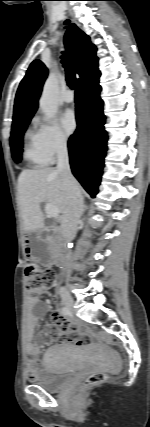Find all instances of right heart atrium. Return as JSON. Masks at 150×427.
<instances>
[{
	"mask_svg": "<svg viewBox=\"0 0 150 427\" xmlns=\"http://www.w3.org/2000/svg\"><path fill=\"white\" fill-rule=\"evenodd\" d=\"M39 144L47 162L53 161L68 148V139L56 123H40L38 127Z\"/></svg>",
	"mask_w": 150,
	"mask_h": 427,
	"instance_id": "right-heart-atrium-1",
	"label": "right heart atrium"
}]
</instances>
